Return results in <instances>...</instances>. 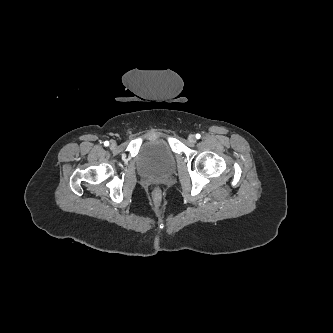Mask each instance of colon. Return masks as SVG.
I'll list each match as a JSON object with an SVG mask.
<instances>
[{
    "mask_svg": "<svg viewBox=\"0 0 333 333\" xmlns=\"http://www.w3.org/2000/svg\"><path fill=\"white\" fill-rule=\"evenodd\" d=\"M154 194L155 195H159L160 194V190L159 189H155Z\"/></svg>",
    "mask_w": 333,
    "mask_h": 333,
    "instance_id": "1",
    "label": "colon"
}]
</instances>
